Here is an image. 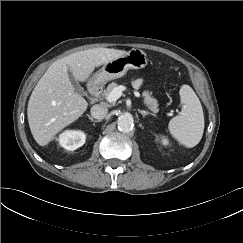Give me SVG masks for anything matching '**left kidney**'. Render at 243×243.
I'll return each instance as SVG.
<instances>
[{
	"instance_id": "5707ae66",
	"label": "left kidney",
	"mask_w": 243,
	"mask_h": 243,
	"mask_svg": "<svg viewBox=\"0 0 243 243\" xmlns=\"http://www.w3.org/2000/svg\"><path fill=\"white\" fill-rule=\"evenodd\" d=\"M162 143H163V145H167L168 144V140L166 138H163L162 139Z\"/></svg>"
}]
</instances>
